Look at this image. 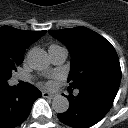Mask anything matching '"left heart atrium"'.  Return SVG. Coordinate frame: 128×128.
Listing matches in <instances>:
<instances>
[{
	"instance_id": "left-heart-atrium-1",
	"label": "left heart atrium",
	"mask_w": 128,
	"mask_h": 128,
	"mask_svg": "<svg viewBox=\"0 0 128 128\" xmlns=\"http://www.w3.org/2000/svg\"><path fill=\"white\" fill-rule=\"evenodd\" d=\"M47 85H48V86H51V85H52V83H51V82H49Z\"/></svg>"
}]
</instances>
